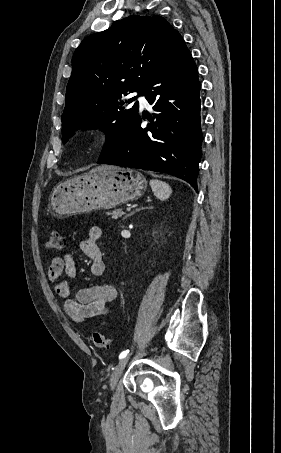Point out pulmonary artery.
<instances>
[{"instance_id":"e3ab8cb5","label":"pulmonary artery","mask_w":281,"mask_h":453,"mask_svg":"<svg viewBox=\"0 0 281 453\" xmlns=\"http://www.w3.org/2000/svg\"><path fill=\"white\" fill-rule=\"evenodd\" d=\"M132 96L136 97L138 99V101L141 103V105L148 106L145 96L143 94H141L140 92H134V93H132Z\"/></svg>"}]
</instances>
